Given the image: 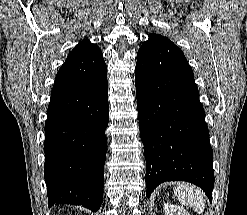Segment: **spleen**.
I'll return each mask as SVG.
<instances>
[{"instance_id": "3e777b00", "label": "spleen", "mask_w": 247, "mask_h": 215, "mask_svg": "<svg viewBox=\"0 0 247 215\" xmlns=\"http://www.w3.org/2000/svg\"><path fill=\"white\" fill-rule=\"evenodd\" d=\"M174 194L181 204L191 206L199 214L203 213L205 200L199 188L188 183H181L174 189Z\"/></svg>"}]
</instances>
